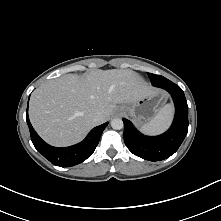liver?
Listing matches in <instances>:
<instances>
[{"label": "liver", "instance_id": "6515ba94", "mask_svg": "<svg viewBox=\"0 0 221 221\" xmlns=\"http://www.w3.org/2000/svg\"><path fill=\"white\" fill-rule=\"evenodd\" d=\"M154 90L129 69L67 74L37 88L29 102L30 121L49 144L69 146L81 141L109 119L116 104H130ZM100 112V122L94 115Z\"/></svg>", "mask_w": 221, "mask_h": 221}]
</instances>
